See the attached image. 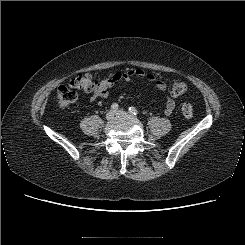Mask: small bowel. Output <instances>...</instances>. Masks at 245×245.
I'll list each match as a JSON object with an SVG mask.
<instances>
[{
  "mask_svg": "<svg viewBox=\"0 0 245 245\" xmlns=\"http://www.w3.org/2000/svg\"><path fill=\"white\" fill-rule=\"evenodd\" d=\"M134 77H142L148 80L149 82H154L156 88L161 93H166L167 83L156 78L151 73H145L141 69H130L127 71L116 72L108 78H104L98 81L95 90L91 94V101H95L97 98H108L110 96V89L119 81L125 80L128 81ZM175 109V100L171 96H167L165 99V108L164 112L166 115L172 114Z\"/></svg>",
  "mask_w": 245,
  "mask_h": 245,
  "instance_id": "obj_1",
  "label": "small bowel"
}]
</instances>
